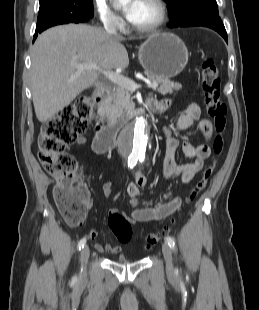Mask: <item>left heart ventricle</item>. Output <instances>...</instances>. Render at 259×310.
<instances>
[{"label": "left heart ventricle", "instance_id": "obj_1", "mask_svg": "<svg viewBox=\"0 0 259 310\" xmlns=\"http://www.w3.org/2000/svg\"><path fill=\"white\" fill-rule=\"evenodd\" d=\"M158 16L159 11L150 0H140L131 23L140 27L149 26L156 22Z\"/></svg>", "mask_w": 259, "mask_h": 310}]
</instances>
